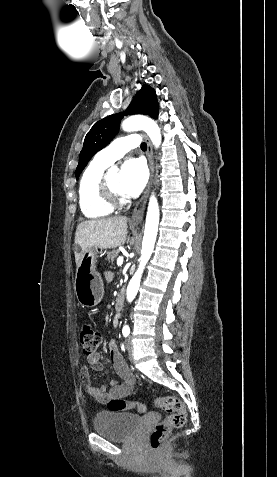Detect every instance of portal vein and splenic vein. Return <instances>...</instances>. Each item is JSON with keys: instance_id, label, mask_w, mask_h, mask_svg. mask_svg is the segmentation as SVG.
<instances>
[{"instance_id": "portal-vein-and-splenic-vein-1", "label": "portal vein and splenic vein", "mask_w": 277, "mask_h": 477, "mask_svg": "<svg viewBox=\"0 0 277 477\" xmlns=\"http://www.w3.org/2000/svg\"><path fill=\"white\" fill-rule=\"evenodd\" d=\"M123 264V256H119L117 259V265L121 266Z\"/></svg>"}]
</instances>
